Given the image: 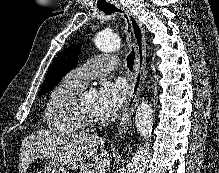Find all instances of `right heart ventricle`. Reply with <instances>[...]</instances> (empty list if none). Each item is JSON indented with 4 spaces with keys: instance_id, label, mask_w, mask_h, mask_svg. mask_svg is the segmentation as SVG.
<instances>
[{
    "instance_id": "right-heart-ventricle-1",
    "label": "right heart ventricle",
    "mask_w": 219,
    "mask_h": 173,
    "mask_svg": "<svg viewBox=\"0 0 219 173\" xmlns=\"http://www.w3.org/2000/svg\"><path fill=\"white\" fill-rule=\"evenodd\" d=\"M82 88L69 81L67 77L53 88L44 110L45 123L50 130L63 134L79 133L84 130L72 112L73 100Z\"/></svg>"
}]
</instances>
